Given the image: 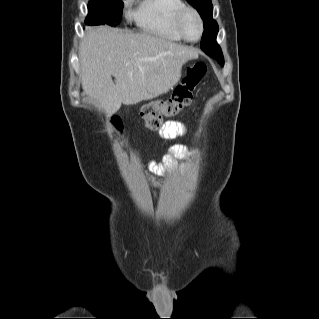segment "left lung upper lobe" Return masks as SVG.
Wrapping results in <instances>:
<instances>
[{"mask_svg":"<svg viewBox=\"0 0 319 319\" xmlns=\"http://www.w3.org/2000/svg\"><path fill=\"white\" fill-rule=\"evenodd\" d=\"M194 8L197 9L201 18L204 20V32L202 35L201 48H208L216 56H213L221 66L224 65L223 54L220 46L216 42L218 33V24L212 18L213 6L211 0H187ZM210 45L212 50L207 46Z\"/></svg>","mask_w":319,"mask_h":319,"instance_id":"1","label":"left lung upper lobe"}]
</instances>
